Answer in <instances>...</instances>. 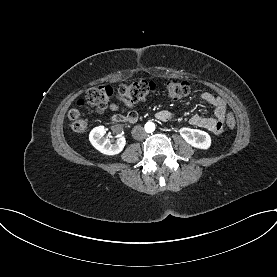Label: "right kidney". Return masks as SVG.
I'll return each instance as SVG.
<instances>
[{"mask_svg":"<svg viewBox=\"0 0 277 277\" xmlns=\"http://www.w3.org/2000/svg\"><path fill=\"white\" fill-rule=\"evenodd\" d=\"M105 133L106 129L104 126L93 128L89 134V140L91 144L95 149L105 155L119 154L126 144L124 135L120 133L116 142L111 143L108 138H105Z\"/></svg>","mask_w":277,"mask_h":277,"instance_id":"1","label":"right kidney"}]
</instances>
